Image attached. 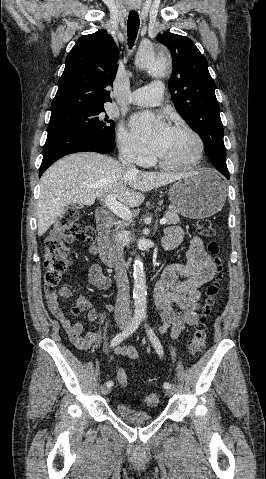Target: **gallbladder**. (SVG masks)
Listing matches in <instances>:
<instances>
[{"mask_svg": "<svg viewBox=\"0 0 266 479\" xmlns=\"http://www.w3.org/2000/svg\"><path fill=\"white\" fill-rule=\"evenodd\" d=\"M74 207L81 208L80 204H73Z\"/></svg>", "mask_w": 266, "mask_h": 479, "instance_id": "gallbladder-1", "label": "gallbladder"}]
</instances>
